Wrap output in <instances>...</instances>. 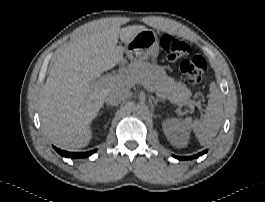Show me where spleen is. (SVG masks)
Wrapping results in <instances>:
<instances>
[{
	"instance_id": "3e777b00",
	"label": "spleen",
	"mask_w": 265,
	"mask_h": 202,
	"mask_svg": "<svg viewBox=\"0 0 265 202\" xmlns=\"http://www.w3.org/2000/svg\"><path fill=\"white\" fill-rule=\"evenodd\" d=\"M223 120L222 96L215 83L210 85V98L202 119L187 117L184 124L191 128L201 145L209 144L217 135Z\"/></svg>"
}]
</instances>
